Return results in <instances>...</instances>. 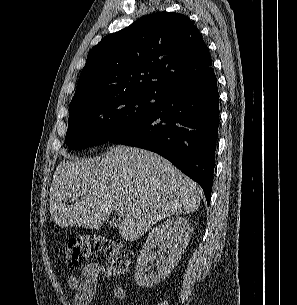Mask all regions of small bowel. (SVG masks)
<instances>
[{
	"label": "small bowel",
	"mask_w": 297,
	"mask_h": 305,
	"mask_svg": "<svg viewBox=\"0 0 297 305\" xmlns=\"http://www.w3.org/2000/svg\"><path fill=\"white\" fill-rule=\"evenodd\" d=\"M100 275L107 280L113 279V274L107 267H99L95 263L85 266L79 276L68 277L69 286L74 291L75 305H89L92 302ZM112 295L115 301H123L126 299V290L115 286Z\"/></svg>",
	"instance_id": "obj_1"
}]
</instances>
